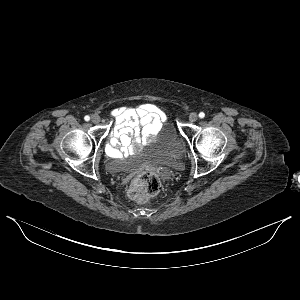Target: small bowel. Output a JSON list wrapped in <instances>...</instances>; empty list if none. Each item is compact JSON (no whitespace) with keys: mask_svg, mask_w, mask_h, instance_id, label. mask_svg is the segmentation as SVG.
I'll return each instance as SVG.
<instances>
[{"mask_svg":"<svg viewBox=\"0 0 300 300\" xmlns=\"http://www.w3.org/2000/svg\"><path fill=\"white\" fill-rule=\"evenodd\" d=\"M114 127L106 152L111 157H121L137 150L157 135L165 113L150 103L135 108L118 107L111 111Z\"/></svg>","mask_w":300,"mask_h":300,"instance_id":"c3829d8e","label":"small bowel"}]
</instances>
